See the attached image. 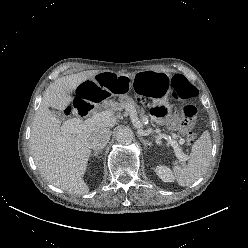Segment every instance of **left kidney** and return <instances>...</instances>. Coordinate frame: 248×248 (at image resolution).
Returning <instances> with one entry per match:
<instances>
[{
    "label": "left kidney",
    "instance_id": "1",
    "mask_svg": "<svg viewBox=\"0 0 248 248\" xmlns=\"http://www.w3.org/2000/svg\"><path fill=\"white\" fill-rule=\"evenodd\" d=\"M155 172L162 181L173 182L174 177L169 168L165 166H157Z\"/></svg>",
    "mask_w": 248,
    "mask_h": 248
}]
</instances>
